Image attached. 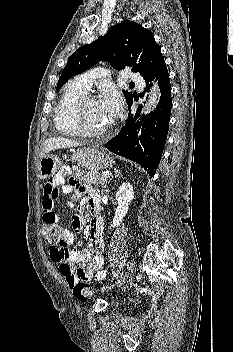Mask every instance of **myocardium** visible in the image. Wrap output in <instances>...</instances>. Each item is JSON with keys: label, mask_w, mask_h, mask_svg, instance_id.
<instances>
[{"label": "myocardium", "mask_w": 233, "mask_h": 352, "mask_svg": "<svg viewBox=\"0 0 233 352\" xmlns=\"http://www.w3.org/2000/svg\"><path fill=\"white\" fill-rule=\"evenodd\" d=\"M96 100V98L90 94H85L83 97L80 98L78 101L75 112H74V122L75 125L81 135L88 136V137H95V136H102L108 133L111 129V126H108L105 129H91L89 128L84 120V107L88 101Z\"/></svg>", "instance_id": "1"}]
</instances>
